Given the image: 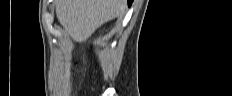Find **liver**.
<instances>
[{
  "mask_svg": "<svg viewBox=\"0 0 232 96\" xmlns=\"http://www.w3.org/2000/svg\"><path fill=\"white\" fill-rule=\"evenodd\" d=\"M127 0H57L56 15L76 42L88 39L102 24L121 16Z\"/></svg>",
  "mask_w": 232,
  "mask_h": 96,
  "instance_id": "obj_1",
  "label": "liver"
}]
</instances>
